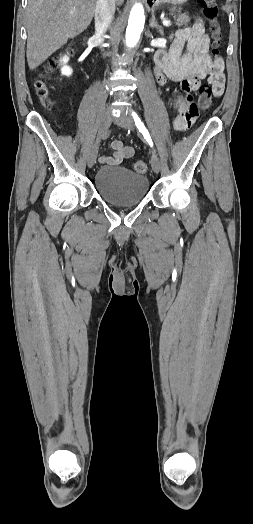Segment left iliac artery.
Returning a JSON list of instances; mask_svg holds the SVG:
<instances>
[{"mask_svg": "<svg viewBox=\"0 0 253 524\" xmlns=\"http://www.w3.org/2000/svg\"><path fill=\"white\" fill-rule=\"evenodd\" d=\"M132 117L134 119L135 125L137 126L138 130L143 134V136L146 139V141L152 147L153 146V142H152V139H151V137L149 135V132L146 129L144 123L141 121V119L139 118V116L135 112H132Z\"/></svg>", "mask_w": 253, "mask_h": 524, "instance_id": "1", "label": "left iliac artery"}]
</instances>
